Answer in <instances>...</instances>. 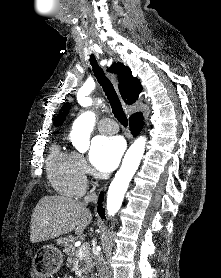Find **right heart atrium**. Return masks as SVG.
Wrapping results in <instances>:
<instances>
[{
    "mask_svg": "<svg viewBox=\"0 0 221 278\" xmlns=\"http://www.w3.org/2000/svg\"><path fill=\"white\" fill-rule=\"evenodd\" d=\"M74 156L78 170L85 177L89 173V168L84 157L79 153H74Z\"/></svg>",
    "mask_w": 221,
    "mask_h": 278,
    "instance_id": "1",
    "label": "right heart atrium"
}]
</instances>
